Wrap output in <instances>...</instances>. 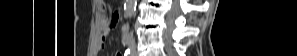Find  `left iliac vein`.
<instances>
[{
	"instance_id": "left-iliac-vein-1",
	"label": "left iliac vein",
	"mask_w": 297,
	"mask_h": 56,
	"mask_svg": "<svg viewBox=\"0 0 297 56\" xmlns=\"http://www.w3.org/2000/svg\"><path fill=\"white\" fill-rule=\"evenodd\" d=\"M130 47L132 48V56H138L137 51L135 50V48L130 45Z\"/></svg>"
}]
</instances>
